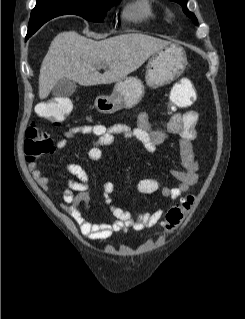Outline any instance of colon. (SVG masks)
I'll return each mask as SVG.
<instances>
[{"mask_svg":"<svg viewBox=\"0 0 245 319\" xmlns=\"http://www.w3.org/2000/svg\"><path fill=\"white\" fill-rule=\"evenodd\" d=\"M171 104L174 109L189 106L182 92L171 94ZM72 109L70 100L66 97H56L42 102L38 106L40 115L55 125L61 124ZM25 155L28 162H33L44 154L50 153L53 143L49 135L35 124L28 126L24 141ZM195 204V196L190 194L184 197L177 205L171 207L165 216L164 227L167 232L174 231L183 221L185 215L190 212Z\"/></svg>","mask_w":245,"mask_h":319,"instance_id":"obj_1","label":"colon"}]
</instances>
